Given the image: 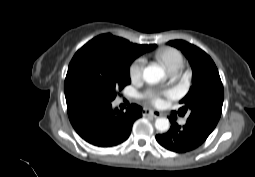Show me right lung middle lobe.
<instances>
[{
  "label": "right lung middle lobe",
  "mask_w": 255,
  "mask_h": 177,
  "mask_svg": "<svg viewBox=\"0 0 255 177\" xmlns=\"http://www.w3.org/2000/svg\"><path fill=\"white\" fill-rule=\"evenodd\" d=\"M129 55L105 49L89 41L72 58L65 79V95L87 93L113 101L131 83Z\"/></svg>",
  "instance_id": "dd1d6c3e"
}]
</instances>
